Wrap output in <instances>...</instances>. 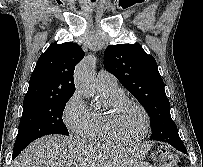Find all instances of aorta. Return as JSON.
I'll list each match as a JSON object with an SVG mask.
<instances>
[{"label": "aorta", "mask_w": 203, "mask_h": 167, "mask_svg": "<svg viewBox=\"0 0 203 167\" xmlns=\"http://www.w3.org/2000/svg\"><path fill=\"white\" fill-rule=\"evenodd\" d=\"M95 59L89 56L82 60L75 70L76 89L87 98H93L96 93L94 81Z\"/></svg>", "instance_id": "obj_1"}]
</instances>
